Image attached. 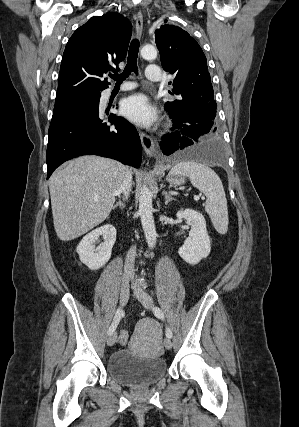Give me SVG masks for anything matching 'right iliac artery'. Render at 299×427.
I'll use <instances>...</instances> for the list:
<instances>
[{"mask_svg":"<svg viewBox=\"0 0 299 427\" xmlns=\"http://www.w3.org/2000/svg\"><path fill=\"white\" fill-rule=\"evenodd\" d=\"M123 315H124V311L122 309H120V308L117 309L116 314H115L114 319H113V322H112V324H111V326L109 327V330H108V334L109 335L112 334L115 331V329L117 328V325L119 324V322H120L121 318L123 317Z\"/></svg>","mask_w":299,"mask_h":427,"instance_id":"82829eb1","label":"right iliac artery"}]
</instances>
